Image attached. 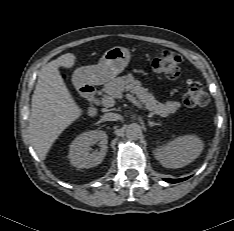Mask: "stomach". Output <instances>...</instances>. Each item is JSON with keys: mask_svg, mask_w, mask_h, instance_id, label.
Instances as JSON below:
<instances>
[{"mask_svg": "<svg viewBox=\"0 0 234 231\" xmlns=\"http://www.w3.org/2000/svg\"><path fill=\"white\" fill-rule=\"evenodd\" d=\"M130 61L127 48L115 46L107 50L97 65L84 66L74 72V79L81 83L104 84L120 74Z\"/></svg>", "mask_w": 234, "mask_h": 231, "instance_id": "0dacf381", "label": "stomach"}]
</instances>
